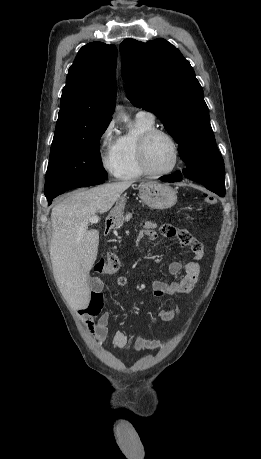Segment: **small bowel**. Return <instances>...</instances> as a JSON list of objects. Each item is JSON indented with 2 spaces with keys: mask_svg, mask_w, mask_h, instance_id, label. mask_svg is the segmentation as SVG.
<instances>
[{
  "mask_svg": "<svg viewBox=\"0 0 261 459\" xmlns=\"http://www.w3.org/2000/svg\"><path fill=\"white\" fill-rule=\"evenodd\" d=\"M173 232L168 238H176L181 244L187 246L193 252L192 260L182 263L180 261H174L168 266V272L171 275L181 276L171 282L166 283L159 279L152 281V291L154 296L163 298L167 296H182L189 294L195 287L199 277V265L198 260L203 255L202 242L188 233L186 230H180L172 228ZM147 236L151 240L157 238V234L152 230L146 231ZM128 279L126 276H119L116 279V284L119 287H123L127 284ZM94 293H101L103 290V282L100 279H94L93 281ZM179 315V308L174 309H161L158 312V317L162 321H172ZM110 315L108 312L101 314L97 320L91 317L86 318L85 326L88 332L99 342L103 343L108 334V324ZM128 343H131L133 347L139 350L155 351L162 347L160 340L147 339L140 334L127 335L123 331H116L112 338V346L114 348H123Z\"/></svg>",
  "mask_w": 261,
  "mask_h": 459,
  "instance_id": "obj_1",
  "label": "small bowel"
}]
</instances>
